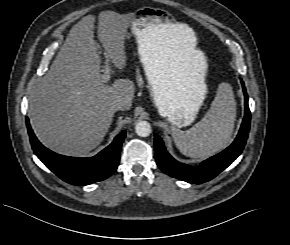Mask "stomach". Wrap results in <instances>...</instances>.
Returning a JSON list of instances; mask_svg holds the SVG:
<instances>
[{
	"mask_svg": "<svg viewBox=\"0 0 290 245\" xmlns=\"http://www.w3.org/2000/svg\"><path fill=\"white\" fill-rule=\"evenodd\" d=\"M167 15L157 8H144L131 22L138 43L148 87L160 115L172 126L182 128L194 122L206 98V61L202 53L194 55L189 66L175 58L165 36L171 25Z\"/></svg>",
	"mask_w": 290,
	"mask_h": 245,
	"instance_id": "1",
	"label": "stomach"
}]
</instances>
